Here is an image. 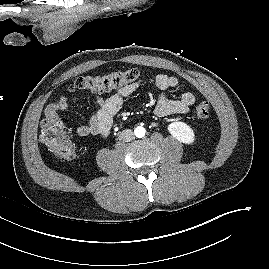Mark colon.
<instances>
[{"label": "colon", "mask_w": 269, "mask_h": 269, "mask_svg": "<svg viewBox=\"0 0 269 269\" xmlns=\"http://www.w3.org/2000/svg\"><path fill=\"white\" fill-rule=\"evenodd\" d=\"M140 78L137 69L112 71L103 75H89L79 77L69 86L70 92L103 93L113 88L122 87ZM198 119L204 121L210 115V106L207 102H201L195 109ZM40 139L44 145L57 157L71 159L75 154L74 144L65 135L63 126L59 120L45 118L40 126Z\"/></svg>", "instance_id": "1"}]
</instances>
